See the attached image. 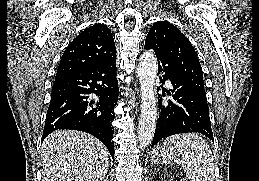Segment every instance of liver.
<instances>
[{"mask_svg":"<svg viewBox=\"0 0 259 181\" xmlns=\"http://www.w3.org/2000/svg\"><path fill=\"white\" fill-rule=\"evenodd\" d=\"M109 153L102 142L85 132L58 130L43 142L42 181H102Z\"/></svg>","mask_w":259,"mask_h":181,"instance_id":"liver-1","label":"liver"}]
</instances>
